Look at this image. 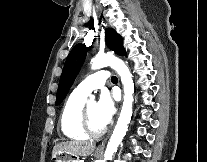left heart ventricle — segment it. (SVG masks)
<instances>
[{
  "label": "left heart ventricle",
  "instance_id": "left-heart-ventricle-1",
  "mask_svg": "<svg viewBox=\"0 0 207 162\" xmlns=\"http://www.w3.org/2000/svg\"><path fill=\"white\" fill-rule=\"evenodd\" d=\"M89 118L94 129L98 130L104 127L98 111V103L93 101L88 104Z\"/></svg>",
  "mask_w": 207,
  "mask_h": 162
}]
</instances>
